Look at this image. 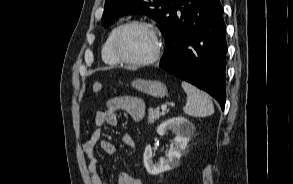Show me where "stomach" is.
Listing matches in <instances>:
<instances>
[{"label":"stomach","mask_w":293,"mask_h":184,"mask_svg":"<svg viewBox=\"0 0 293 184\" xmlns=\"http://www.w3.org/2000/svg\"><path fill=\"white\" fill-rule=\"evenodd\" d=\"M131 85L136 90L153 97L162 98L167 95V87L160 81L136 79L132 81Z\"/></svg>","instance_id":"0dacf381"}]
</instances>
